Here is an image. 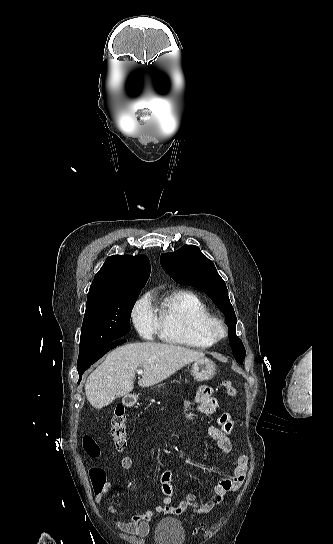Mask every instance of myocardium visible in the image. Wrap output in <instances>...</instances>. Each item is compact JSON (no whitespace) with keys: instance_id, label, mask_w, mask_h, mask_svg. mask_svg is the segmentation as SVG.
I'll list each match as a JSON object with an SVG mask.
<instances>
[{"instance_id":"f54148a6","label":"myocardium","mask_w":333,"mask_h":544,"mask_svg":"<svg viewBox=\"0 0 333 544\" xmlns=\"http://www.w3.org/2000/svg\"><path fill=\"white\" fill-rule=\"evenodd\" d=\"M205 334L214 343L222 341L228 335V329L225 322L215 316H211L205 324Z\"/></svg>"}]
</instances>
